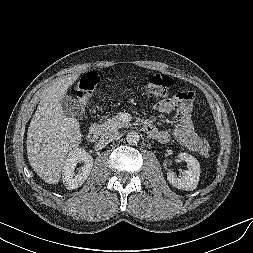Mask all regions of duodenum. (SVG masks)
<instances>
[{
    "label": "duodenum",
    "mask_w": 253,
    "mask_h": 253,
    "mask_svg": "<svg viewBox=\"0 0 253 253\" xmlns=\"http://www.w3.org/2000/svg\"><path fill=\"white\" fill-rule=\"evenodd\" d=\"M99 132L100 129L97 125H91L87 133L88 140L90 142H95L99 138Z\"/></svg>",
    "instance_id": "duodenum-1"
}]
</instances>
